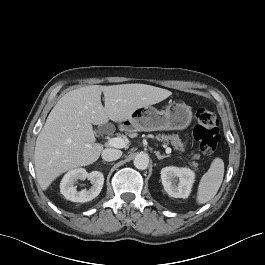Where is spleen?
I'll use <instances>...</instances> for the list:
<instances>
[{"mask_svg":"<svg viewBox=\"0 0 265 265\" xmlns=\"http://www.w3.org/2000/svg\"><path fill=\"white\" fill-rule=\"evenodd\" d=\"M224 177V162L215 158L208 171L202 176L197 190V204H205L215 197Z\"/></svg>","mask_w":265,"mask_h":265,"instance_id":"1","label":"spleen"}]
</instances>
